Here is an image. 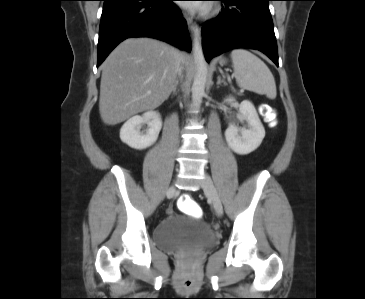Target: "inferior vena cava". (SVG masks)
<instances>
[{
	"label": "inferior vena cava",
	"mask_w": 365,
	"mask_h": 299,
	"mask_svg": "<svg viewBox=\"0 0 365 299\" xmlns=\"http://www.w3.org/2000/svg\"><path fill=\"white\" fill-rule=\"evenodd\" d=\"M180 63L178 64V67H177V71L180 72V67H179Z\"/></svg>",
	"instance_id": "inferior-vena-cava-1"
}]
</instances>
